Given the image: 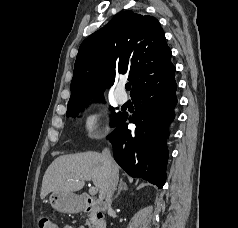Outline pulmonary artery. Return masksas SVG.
Segmentation results:
<instances>
[{
	"instance_id": "e3ab8cb5",
	"label": "pulmonary artery",
	"mask_w": 238,
	"mask_h": 228,
	"mask_svg": "<svg viewBox=\"0 0 238 228\" xmlns=\"http://www.w3.org/2000/svg\"><path fill=\"white\" fill-rule=\"evenodd\" d=\"M115 99L119 104H124L127 102L128 97L124 93V85L122 83H120L115 90Z\"/></svg>"
}]
</instances>
